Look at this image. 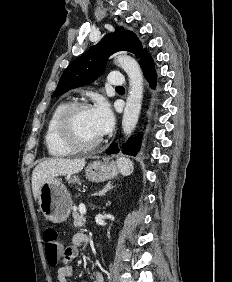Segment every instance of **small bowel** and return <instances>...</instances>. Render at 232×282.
Instances as JSON below:
<instances>
[{"label":"small bowel","mask_w":232,"mask_h":282,"mask_svg":"<svg viewBox=\"0 0 232 282\" xmlns=\"http://www.w3.org/2000/svg\"><path fill=\"white\" fill-rule=\"evenodd\" d=\"M88 241V236L83 233H76L72 237V245L66 250L68 254L64 257V265L57 270L58 282H68V279L73 275V266L71 261L78 255V248ZM94 282H104L102 274L98 271H94Z\"/></svg>","instance_id":"c3829d8e"}]
</instances>
